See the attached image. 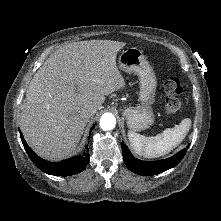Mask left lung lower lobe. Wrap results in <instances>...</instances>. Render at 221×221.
<instances>
[{"label": "left lung lower lobe", "mask_w": 221, "mask_h": 221, "mask_svg": "<svg viewBox=\"0 0 221 221\" xmlns=\"http://www.w3.org/2000/svg\"><path fill=\"white\" fill-rule=\"evenodd\" d=\"M123 158L126 166L132 172L142 175V176H152L162 173L174 166H176L184 157L187 152V148H184L180 152L176 153L174 156L158 161H142L133 157L128 147L124 142L121 143Z\"/></svg>", "instance_id": "0a47b994"}]
</instances>
